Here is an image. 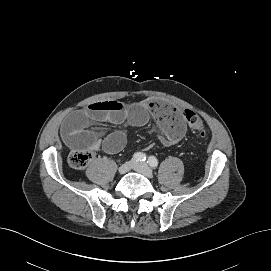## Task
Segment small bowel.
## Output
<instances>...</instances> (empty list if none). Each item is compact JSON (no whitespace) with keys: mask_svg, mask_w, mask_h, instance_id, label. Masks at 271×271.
<instances>
[{"mask_svg":"<svg viewBox=\"0 0 271 271\" xmlns=\"http://www.w3.org/2000/svg\"><path fill=\"white\" fill-rule=\"evenodd\" d=\"M152 115L165 134V146L178 143L186 132L184 117L180 112L159 100H150L126 109L118 101H103L90 104L85 109L72 113L62 124L61 133L71 148H102L109 154L119 152L126 143V135L115 131L101 138L99 133L89 128L94 121L121 124L125 121L135 126L145 125Z\"/></svg>","mask_w":271,"mask_h":271,"instance_id":"1","label":"small bowel"}]
</instances>
